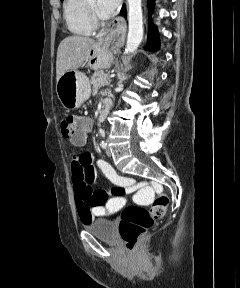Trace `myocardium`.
<instances>
[{"label":"myocardium","instance_id":"obj_1","mask_svg":"<svg viewBox=\"0 0 240 288\" xmlns=\"http://www.w3.org/2000/svg\"><path fill=\"white\" fill-rule=\"evenodd\" d=\"M85 5L89 16V21L92 27L97 28L101 26L103 24L102 18L97 14L95 9L87 3V0L85 1Z\"/></svg>","mask_w":240,"mask_h":288}]
</instances>
